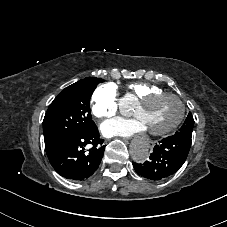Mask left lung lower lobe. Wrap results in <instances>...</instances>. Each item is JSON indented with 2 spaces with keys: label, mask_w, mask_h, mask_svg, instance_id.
<instances>
[{
  "label": "left lung lower lobe",
  "mask_w": 227,
  "mask_h": 227,
  "mask_svg": "<svg viewBox=\"0 0 227 227\" xmlns=\"http://www.w3.org/2000/svg\"><path fill=\"white\" fill-rule=\"evenodd\" d=\"M191 146V138L169 136L156 144L149 160L133 163L138 174L151 180H161L178 171L184 164Z\"/></svg>",
  "instance_id": "obj_1"
}]
</instances>
